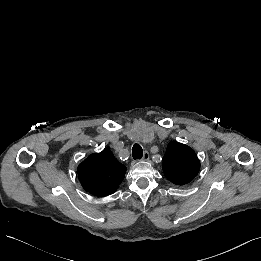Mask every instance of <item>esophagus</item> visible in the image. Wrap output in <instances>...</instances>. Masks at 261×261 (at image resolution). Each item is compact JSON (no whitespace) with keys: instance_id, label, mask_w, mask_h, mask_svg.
<instances>
[{"instance_id":"34e87169","label":"esophagus","mask_w":261,"mask_h":261,"mask_svg":"<svg viewBox=\"0 0 261 261\" xmlns=\"http://www.w3.org/2000/svg\"><path fill=\"white\" fill-rule=\"evenodd\" d=\"M148 160H149V153L145 151V153L143 154V161H148Z\"/></svg>"}]
</instances>
